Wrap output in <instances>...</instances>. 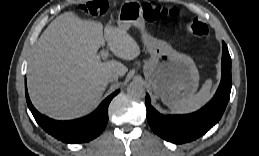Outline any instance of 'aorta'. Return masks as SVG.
<instances>
[{"instance_id": "762f6f07", "label": "aorta", "mask_w": 259, "mask_h": 156, "mask_svg": "<svg viewBox=\"0 0 259 156\" xmlns=\"http://www.w3.org/2000/svg\"><path fill=\"white\" fill-rule=\"evenodd\" d=\"M127 93L134 99H142L145 97L144 87L137 82H132L128 85Z\"/></svg>"}]
</instances>
